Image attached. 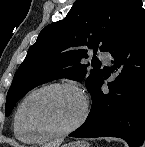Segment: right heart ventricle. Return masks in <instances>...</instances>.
Returning a JSON list of instances; mask_svg holds the SVG:
<instances>
[{"instance_id": "obj_1", "label": "right heart ventricle", "mask_w": 145, "mask_h": 147, "mask_svg": "<svg viewBox=\"0 0 145 147\" xmlns=\"http://www.w3.org/2000/svg\"><path fill=\"white\" fill-rule=\"evenodd\" d=\"M14 134L18 140L23 141V142H34V141L41 140L31 134H28V133L22 131L18 125L16 115H15V119H14Z\"/></svg>"}]
</instances>
